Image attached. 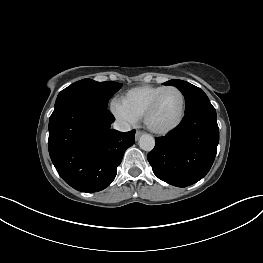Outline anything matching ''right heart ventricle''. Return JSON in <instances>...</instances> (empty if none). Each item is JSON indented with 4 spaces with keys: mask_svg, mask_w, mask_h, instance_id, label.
Instances as JSON below:
<instances>
[{
    "mask_svg": "<svg viewBox=\"0 0 263 263\" xmlns=\"http://www.w3.org/2000/svg\"><path fill=\"white\" fill-rule=\"evenodd\" d=\"M165 87L151 85L134 87L122 96L120 103L136 118H141L152 99Z\"/></svg>",
    "mask_w": 263,
    "mask_h": 263,
    "instance_id": "right-heart-ventricle-1",
    "label": "right heart ventricle"
}]
</instances>
